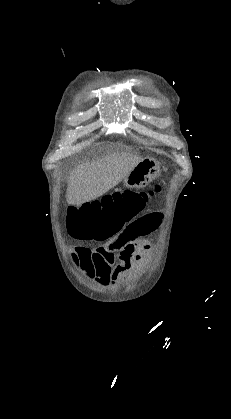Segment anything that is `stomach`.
<instances>
[{
	"label": "stomach",
	"mask_w": 231,
	"mask_h": 419,
	"mask_svg": "<svg viewBox=\"0 0 231 419\" xmlns=\"http://www.w3.org/2000/svg\"><path fill=\"white\" fill-rule=\"evenodd\" d=\"M159 175V164L151 158H145L125 176L123 183L128 188H143Z\"/></svg>",
	"instance_id": "1"
}]
</instances>
